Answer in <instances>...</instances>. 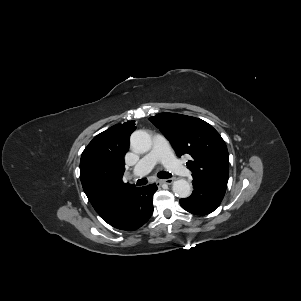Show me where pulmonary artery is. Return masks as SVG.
I'll use <instances>...</instances> for the list:
<instances>
[{
	"label": "pulmonary artery",
	"instance_id": "1",
	"mask_svg": "<svg viewBox=\"0 0 301 301\" xmlns=\"http://www.w3.org/2000/svg\"><path fill=\"white\" fill-rule=\"evenodd\" d=\"M158 162L163 163L166 168L178 175L190 174V171L174 157L166 139L162 135H156L152 149L139 160L132 170L131 177L138 178L146 175Z\"/></svg>",
	"mask_w": 301,
	"mask_h": 301
}]
</instances>
